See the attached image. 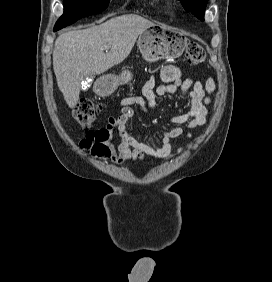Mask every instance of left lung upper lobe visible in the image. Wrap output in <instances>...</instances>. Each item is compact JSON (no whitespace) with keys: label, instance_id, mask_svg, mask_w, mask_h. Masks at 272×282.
Returning a JSON list of instances; mask_svg holds the SVG:
<instances>
[{"label":"left lung upper lobe","instance_id":"obj_1","mask_svg":"<svg viewBox=\"0 0 272 282\" xmlns=\"http://www.w3.org/2000/svg\"><path fill=\"white\" fill-rule=\"evenodd\" d=\"M186 11L192 12L200 20H204V12L208 0H180Z\"/></svg>","mask_w":272,"mask_h":282}]
</instances>
